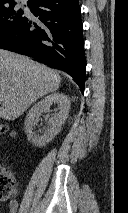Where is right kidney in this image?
<instances>
[{
	"instance_id": "ca27d5eb",
	"label": "right kidney",
	"mask_w": 128,
	"mask_h": 213,
	"mask_svg": "<svg viewBox=\"0 0 128 213\" xmlns=\"http://www.w3.org/2000/svg\"><path fill=\"white\" fill-rule=\"evenodd\" d=\"M52 104L58 105L59 113L49 118L46 130L42 135H37L34 128L39 121V116L41 113L48 111ZM69 110V98L59 92H54L34 104L28 111L24 123L28 140L39 148L46 146L60 132L63 123L68 117Z\"/></svg>"
}]
</instances>
